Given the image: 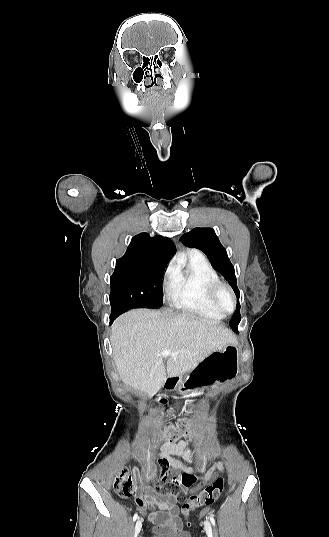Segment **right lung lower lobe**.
<instances>
[{
  "label": "right lung lower lobe",
  "mask_w": 329,
  "mask_h": 537,
  "mask_svg": "<svg viewBox=\"0 0 329 537\" xmlns=\"http://www.w3.org/2000/svg\"><path fill=\"white\" fill-rule=\"evenodd\" d=\"M114 320H115V319H113V318H110V323L112 324V322H113Z\"/></svg>",
  "instance_id": "obj_1"
}]
</instances>
